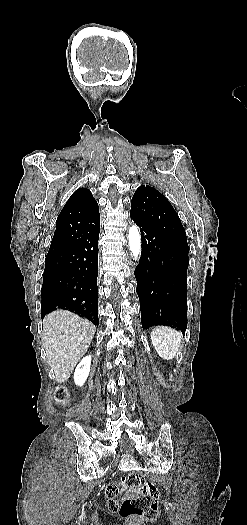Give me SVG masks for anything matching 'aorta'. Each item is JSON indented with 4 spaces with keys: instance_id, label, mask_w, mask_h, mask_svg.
Instances as JSON below:
<instances>
[{
    "instance_id": "1",
    "label": "aorta",
    "mask_w": 247,
    "mask_h": 525,
    "mask_svg": "<svg viewBox=\"0 0 247 525\" xmlns=\"http://www.w3.org/2000/svg\"><path fill=\"white\" fill-rule=\"evenodd\" d=\"M128 242L132 256L135 260H139L141 256V235L136 225H132L128 230Z\"/></svg>"
}]
</instances>
